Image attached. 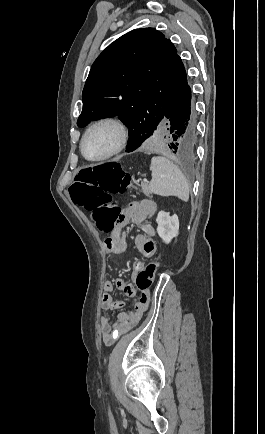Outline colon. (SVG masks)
Listing matches in <instances>:
<instances>
[{
	"label": "colon",
	"mask_w": 265,
	"mask_h": 434,
	"mask_svg": "<svg viewBox=\"0 0 265 434\" xmlns=\"http://www.w3.org/2000/svg\"><path fill=\"white\" fill-rule=\"evenodd\" d=\"M105 164V165H104ZM104 164H84L68 185V201L80 202L90 214L96 228L102 234H112L121 212L120 205L112 194H124L133 187V178L112 158ZM159 267V257L145 265L137 273L135 286L144 293L145 286H151ZM136 296V295H135ZM133 323L138 319H131Z\"/></svg>",
	"instance_id": "5ec220e1"
}]
</instances>
